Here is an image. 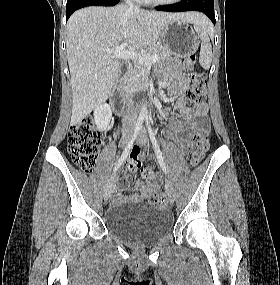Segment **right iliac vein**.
I'll use <instances>...</instances> for the list:
<instances>
[{"instance_id":"1","label":"right iliac vein","mask_w":280,"mask_h":285,"mask_svg":"<svg viewBox=\"0 0 280 285\" xmlns=\"http://www.w3.org/2000/svg\"><path fill=\"white\" fill-rule=\"evenodd\" d=\"M131 137V133L130 132H127V133H124L123 134V137H122V143L123 144H127V142L129 141ZM115 183H116V175H113L107 186H106V189H105V192H104V200L105 201H108L113 193V190H114V187H115Z\"/></svg>"}]
</instances>
